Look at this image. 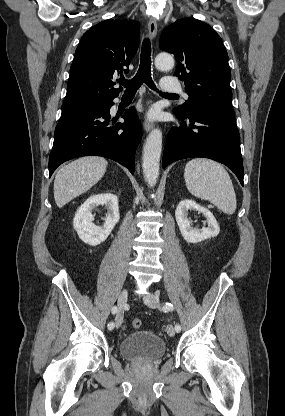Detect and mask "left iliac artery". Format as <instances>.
<instances>
[{
  "mask_svg": "<svg viewBox=\"0 0 285 416\" xmlns=\"http://www.w3.org/2000/svg\"><path fill=\"white\" fill-rule=\"evenodd\" d=\"M173 310H174L173 304H171L170 302H166V303H164V304H163V306H162V311H164V312H167V311H173ZM175 330H176L177 332H180V331H181V326L177 324V325L175 326Z\"/></svg>",
  "mask_w": 285,
  "mask_h": 416,
  "instance_id": "44dca946",
  "label": "left iliac artery"
}]
</instances>
